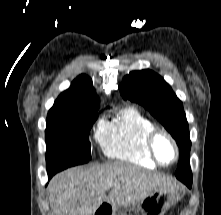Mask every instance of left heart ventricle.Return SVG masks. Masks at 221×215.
Returning a JSON list of instances; mask_svg holds the SVG:
<instances>
[{
  "instance_id": "obj_1",
  "label": "left heart ventricle",
  "mask_w": 221,
  "mask_h": 215,
  "mask_svg": "<svg viewBox=\"0 0 221 215\" xmlns=\"http://www.w3.org/2000/svg\"><path fill=\"white\" fill-rule=\"evenodd\" d=\"M157 152L160 156V158L164 161V162H169L172 159V148L169 144V142L164 139V138H160L157 141Z\"/></svg>"
}]
</instances>
